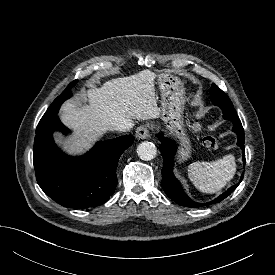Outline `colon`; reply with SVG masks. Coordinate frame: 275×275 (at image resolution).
<instances>
[{
  "instance_id": "obj_1",
  "label": "colon",
  "mask_w": 275,
  "mask_h": 275,
  "mask_svg": "<svg viewBox=\"0 0 275 275\" xmlns=\"http://www.w3.org/2000/svg\"><path fill=\"white\" fill-rule=\"evenodd\" d=\"M195 129L197 131H201L202 130V126L199 125V124H196L195 125ZM202 144L208 150H215L219 146L218 140L214 136H212V135H204L202 137Z\"/></svg>"
}]
</instances>
